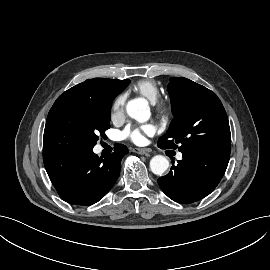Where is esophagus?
I'll return each instance as SVG.
<instances>
[{
	"label": "esophagus",
	"mask_w": 270,
	"mask_h": 270,
	"mask_svg": "<svg viewBox=\"0 0 270 270\" xmlns=\"http://www.w3.org/2000/svg\"><path fill=\"white\" fill-rule=\"evenodd\" d=\"M133 151L140 155H146V156L150 155L151 153V149H148V148H135Z\"/></svg>",
	"instance_id": "obj_1"
}]
</instances>
